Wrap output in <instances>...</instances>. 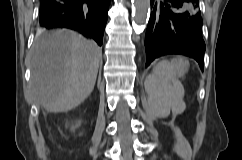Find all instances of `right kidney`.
I'll return each instance as SVG.
<instances>
[{
	"label": "right kidney",
	"instance_id": "right-kidney-1",
	"mask_svg": "<svg viewBox=\"0 0 242 160\" xmlns=\"http://www.w3.org/2000/svg\"><path fill=\"white\" fill-rule=\"evenodd\" d=\"M80 124H81L80 122H77L75 125L71 127V130L74 131L77 127L80 126Z\"/></svg>",
	"mask_w": 242,
	"mask_h": 160
}]
</instances>
